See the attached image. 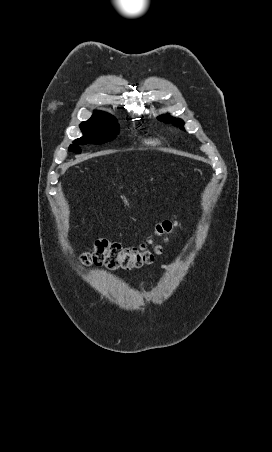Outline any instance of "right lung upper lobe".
I'll return each instance as SVG.
<instances>
[{
	"label": "right lung upper lobe",
	"instance_id": "cb5924a9",
	"mask_svg": "<svg viewBox=\"0 0 272 452\" xmlns=\"http://www.w3.org/2000/svg\"><path fill=\"white\" fill-rule=\"evenodd\" d=\"M104 114H106V113L96 111V112H94L93 116H92L89 120L94 119V118H97V117H100V116H102V115H104ZM89 120H88V121H89ZM85 122H86V121H85Z\"/></svg>",
	"mask_w": 272,
	"mask_h": 452
}]
</instances>
